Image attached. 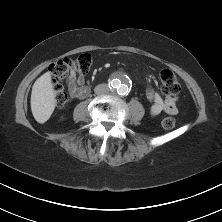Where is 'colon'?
Masks as SVG:
<instances>
[{
	"instance_id": "obj_1",
	"label": "colon",
	"mask_w": 222,
	"mask_h": 222,
	"mask_svg": "<svg viewBox=\"0 0 222 222\" xmlns=\"http://www.w3.org/2000/svg\"><path fill=\"white\" fill-rule=\"evenodd\" d=\"M92 66V56L90 54H81L77 58H62L49 66V72L53 82L55 93V102L59 108H62L67 102V93L64 89L62 81L66 79L72 72L79 75H85ZM160 82L162 90L168 100H174L180 91L178 77L171 70H163L160 74ZM173 117H166L162 121V127L166 130L175 126Z\"/></svg>"
}]
</instances>
